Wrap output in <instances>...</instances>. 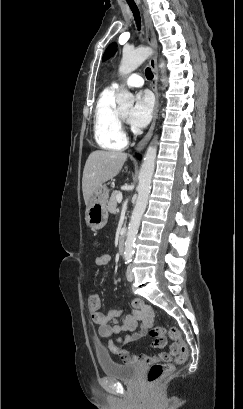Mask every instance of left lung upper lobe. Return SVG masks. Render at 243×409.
<instances>
[{"instance_id":"5c2ea615","label":"left lung upper lobe","mask_w":243,"mask_h":409,"mask_svg":"<svg viewBox=\"0 0 243 409\" xmlns=\"http://www.w3.org/2000/svg\"><path fill=\"white\" fill-rule=\"evenodd\" d=\"M116 49H117L116 43L110 44L104 53L103 61L111 57L116 52Z\"/></svg>"}]
</instances>
